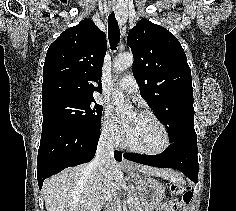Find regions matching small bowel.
I'll return each instance as SVG.
<instances>
[{
    "label": "small bowel",
    "instance_id": "obj_1",
    "mask_svg": "<svg viewBox=\"0 0 236 211\" xmlns=\"http://www.w3.org/2000/svg\"><path fill=\"white\" fill-rule=\"evenodd\" d=\"M157 211H166L164 207L159 208ZM179 211H188L186 206H182Z\"/></svg>",
    "mask_w": 236,
    "mask_h": 211
}]
</instances>
